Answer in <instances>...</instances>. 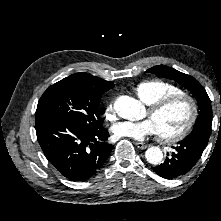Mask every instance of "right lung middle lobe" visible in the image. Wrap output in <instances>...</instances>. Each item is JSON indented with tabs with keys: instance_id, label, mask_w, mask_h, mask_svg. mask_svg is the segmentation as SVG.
Masks as SVG:
<instances>
[{
	"instance_id": "dd1d6c3e",
	"label": "right lung middle lobe",
	"mask_w": 221,
	"mask_h": 221,
	"mask_svg": "<svg viewBox=\"0 0 221 221\" xmlns=\"http://www.w3.org/2000/svg\"><path fill=\"white\" fill-rule=\"evenodd\" d=\"M103 92L97 86L64 78L46 89L36 111H48L81 128L98 130L103 128L98 113Z\"/></svg>"
}]
</instances>
